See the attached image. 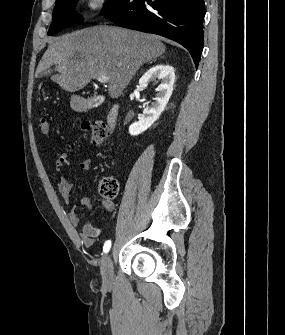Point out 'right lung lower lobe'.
Returning <instances> with one entry per match:
<instances>
[{"label": "right lung lower lobe", "mask_w": 285, "mask_h": 335, "mask_svg": "<svg viewBox=\"0 0 285 335\" xmlns=\"http://www.w3.org/2000/svg\"><path fill=\"white\" fill-rule=\"evenodd\" d=\"M203 0H119L104 15L121 27L158 34L183 45L196 67L203 49Z\"/></svg>", "instance_id": "obj_1"}]
</instances>
